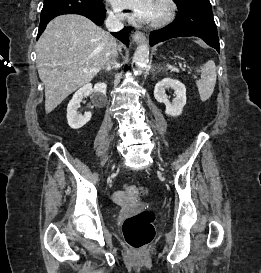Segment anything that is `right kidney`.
<instances>
[{"mask_svg":"<svg viewBox=\"0 0 261 273\" xmlns=\"http://www.w3.org/2000/svg\"><path fill=\"white\" fill-rule=\"evenodd\" d=\"M106 89L107 85L105 83H96L94 87L91 83H88L76 91L67 106V120L72 129H80L91 119V112H86L84 115H78L77 113L82 99L94 92L96 94V100H105Z\"/></svg>","mask_w":261,"mask_h":273,"instance_id":"right-kidney-1","label":"right kidney"}]
</instances>
